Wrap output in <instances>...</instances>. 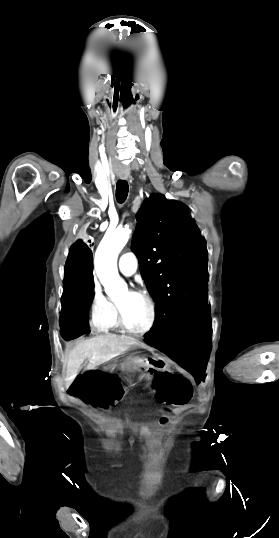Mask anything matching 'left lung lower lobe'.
Returning a JSON list of instances; mask_svg holds the SVG:
<instances>
[{"label": "left lung lower lobe", "mask_w": 279, "mask_h": 538, "mask_svg": "<svg viewBox=\"0 0 279 538\" xmlns=\"http://www.w3.org/2000/svg\"><path fill=\"white\" fill-rule=\"evenodd\" d=\"M210 306L200 304L179 327L164 336L145 335V341L188 370L200 382L211 341Z\"/></svg>", "instance_id": "obj_1"}]
</instances>
